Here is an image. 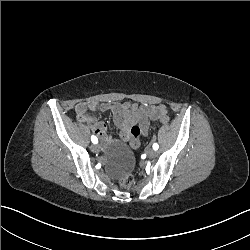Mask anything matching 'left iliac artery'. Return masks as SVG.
Listing matches in <instances>:
<instances>
[{
	"label": "left iliac artery",
	"instance_id": "left-iliac-artery-1",
	"mask_svg": "<svg viewBox=\"0 0 250 250\" xmlns=\"http://www.w3.org/2000/svg\"><path fill=\"white\" fill-rule=\"evenodd\" d=\"M158 148H159V145H158L157 143H154V144H153V149H154V150H158Z\"/></svg>",
	"mask_w": 250,
	"mask_h": 250
}]
</instances>
